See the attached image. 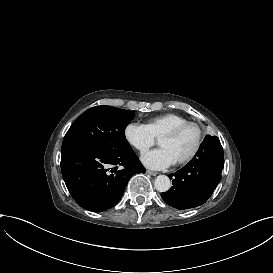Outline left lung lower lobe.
Wrapping results in <instances>:
<instances>
[{
    "label": "left lung lower lobe",
    "instance_id": "0a47b994",
    "mask_svg": "<svg viewBox=\"0 0 273 273\" xmlns=\"http://www.w3.org/2000/svg\"><path fill=\"white\" fill-rule=\"evenodd\" d=\"M224 152L216 136L207 135L194 158L183 168L168 175L173 186L161 193L171 207L184 210L205 203L221 180Z\"/></svg>",
    "mask_w": 273,
    "mask_h": 273
}]
</instances>
